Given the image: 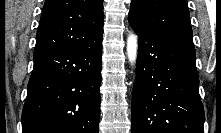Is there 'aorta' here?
I'll list each match as a JSON object with an SVG mask.
<instances>
[{
  "instance_id": "762f6f07",
  "label": "aorta",
  "mask_w": 221,
  "mask_h": 133,
  "mask_svg": "<svg viewBox=\"0 0 221 133\" xmlns=\"http://www.w3.org/2000/svg\"><path fill=\"white\" fill-rule=\"evenodd\" d=\"M138 41L135 34H130L127 39V55L130 63L133 65L137 59Z\"/></svg>"
}]
</instances>
